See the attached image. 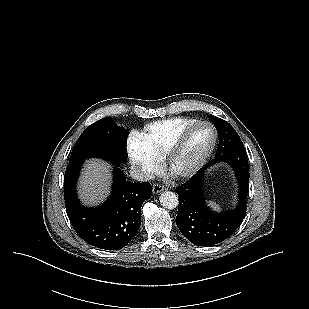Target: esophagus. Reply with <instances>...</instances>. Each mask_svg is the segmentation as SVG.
Returning a JSON list of instances; mask_svg holds the SVG:
<instances>
[{"mask_svg":"<svg viewBox=\"0 0 309 309\" xmlns=\"http://www.w3.org/2000/svg\"><path fill=\"white\" fill-rule=\"evenodd\" d=\"M165 187L161 184H154L152 187V191L154 194H158L161 193L162 191H164Z\"/></svg>","mask_w":309,"mask_h":309,"instance_id":"esophagus-1","label":"esophagus"}]
</instances>
